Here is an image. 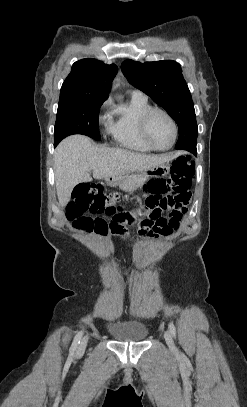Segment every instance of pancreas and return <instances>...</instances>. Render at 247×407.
Returning a JSON list of instances; mask_svg holds the SVG:
<instances>
[{"instance_id":"cf45deb5","label":"pancreas","mask_w":247,"mask_h":407,"mask_svg":"<svg viewBox=\"0 0 247 407\" xmlns=\"http://www.w3.org/2000/svg\"><path fill=\"white\" fill-rule=\"evenodd\" d=\"M146 180L147 178L130 176L123 183H121L119 187L122 190L133 189L136 186L142 185Z\"/></svg>"}]
</instances>
